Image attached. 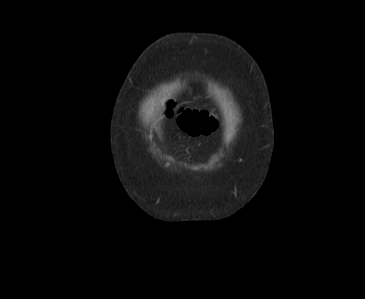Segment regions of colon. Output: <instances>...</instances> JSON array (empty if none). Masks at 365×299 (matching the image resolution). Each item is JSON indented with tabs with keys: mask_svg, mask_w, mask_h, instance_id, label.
Instances as JSON below:
<instances>
[{
	"mask_svg": "<svg viewBox=\"0 0 365 299\" xmlns=\"http://www.w3.org/2000/svg\"><path fill=\"white\" fill-rule=\"evenodd\" d=\"M165 115L175 119L178 126L191 136L208 135L217 126L215 115L208 110L189 108L173 100L166 102Z\"/></svg>",
	"mask_w": 365,
	"mask_h": 299,
	"instance_id": "obj_1",
	"label": "colon"
}]
</instances>
